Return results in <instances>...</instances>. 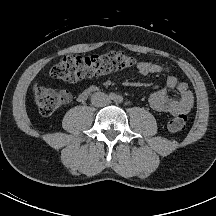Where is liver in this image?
I'll return each instance as SVG.
<instances>
[{
    "label": "liver",
    "instance_id": "1",
    "mask_svg": "<svg viewBox=\"0 0 216 216\" xmlns=\"http://www.w3.org/2000/svg\"><path fill=\"white\" fill-rule=\"evenodd\" d=\"M33 90H34L35 93L37 92V84L34 85Z\"/></svg>",
    "mask_w": 216,
    "mask_h": 216
}]
</instances>
